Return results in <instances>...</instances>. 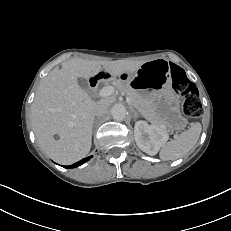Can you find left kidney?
Returning a JSON list of instances; mask_svg holds the SVG:
<instances>
[{
    "instance_id": "left-kidney-1",
    "label": "left kidney",
    "mask_w": 231,
    "mask_h": 231,
    "mask_svg": "<svg viewBox=\"0 0 231 231\" xmlns=\"http://www.w3.org/2000/svg\"><path fill=\"white\" fill-rule=\"evenodd\" d=\"M134 139L143 152L156 155L160 147L168 140V134L160 127L149 125L141 120L135 123Z\"/></svg>"
}]
</instances>
